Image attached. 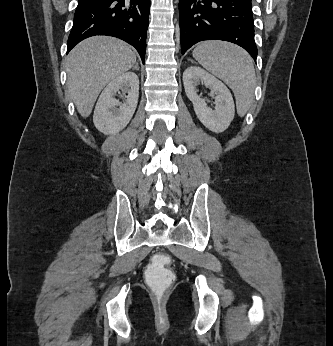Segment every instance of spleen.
I'll use <instances>...</instances> for the list:
<instances>
[{
	"instance_id": "spleen-1",
	"label": "spleen",
	"mask_w": 333,
	"mask_h": 346,
	"mask_svg": "<svg viewBox=\"0 0 333 346\" xmlns=\"http://www.w3.org/2000/svg\"><path fill=\"white\" fill-rule=\"evenodd\" d=\"M193 57L232 89L238 115L243 117L253 102L256 86L255 69L250 55L232 43L204 41L195 47Z\"/></svg>"
}]
</instances>
